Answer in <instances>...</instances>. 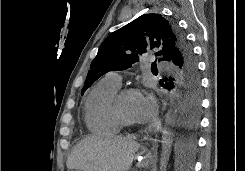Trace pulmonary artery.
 Masks as SVG:
<instances>
[{
  "instance_id": "e3ab8cb5",
  "label": "pulmonary artery",
  "mask_w": 245,
  "mask_h": 171,
  "mask_svg": "<svg viewBox=\"0 0 245 171\" xmlns=\"http://www.w3.org/2000/svg\"><path fill=\"white\" fill-rule=\"evenodd\" d=\"M158 66L160 67H164L166 66V62H160L158 63ZM106 80L110 83H112L113 85L117 86L120 88L121 85V75L118 72H110L106 75Z\"/></svg>"
}]
</instances>
